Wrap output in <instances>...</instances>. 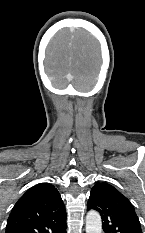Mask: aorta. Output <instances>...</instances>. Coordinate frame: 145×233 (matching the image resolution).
<instances>
[{
	"mask_svg": "<svg viewBox=\"0 0 145 233\" xmlns=\"http://www.w3.org/2000/svg\"><path fill=\"white\" fill-rule=\"evenodd\" d=\"M86 233H102V222L98 212L91 210L86 215Z\"/></svg>",
	"mask_w": 145,
	"mask_h": 233,
	"instance_id": "1",
	"label": "aorta"
}]
</instances>
